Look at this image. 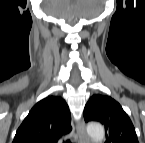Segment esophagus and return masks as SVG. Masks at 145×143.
Listing matches in <instances>:
<instances>
[{
	"instance_id": "34e87169",
	"label": "esophagus",
	"mask_w": 145,
	"mask_h": 143,
	"mask_svg": "<svg viewBox=\"0 0 145 143\" xmlns=\"http://www.w3.org/2000/svg\"><path fill=\"white\" fill-rule=\"evenodd\" d=\"M77 136L79 143H89V139L85 130V124L83 121H79L76 126Z\"/></svg>"
}]
</instances>
